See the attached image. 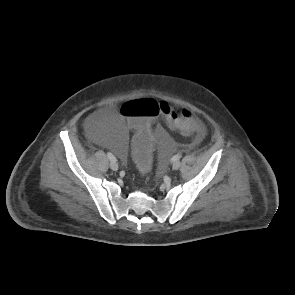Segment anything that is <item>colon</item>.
<instances>
[{
    "mask_svg": "<svg viewBox=\"0 0 295 295\" xmlns=\"http://www.w3.org/2000/svg\"><path fill=\"white\" fill-rule=\"evenodd\" d=\"M121 127H129L135 134L132 138L131 161L133 174L141 182L150 180L154 174L153 149L156 136L153 125L166 121L171 130L184 135H197L203 129L201 123L187 108L176 109L156 97L136 96L122 101L116 113Z\"/></svg>",
    "mask_w": 295,
    "mask_h": 295,
    "instance_id": "obj_1",
    "label": "colon"
}]
</instances>
